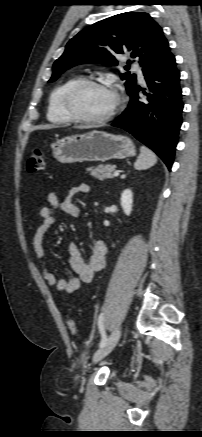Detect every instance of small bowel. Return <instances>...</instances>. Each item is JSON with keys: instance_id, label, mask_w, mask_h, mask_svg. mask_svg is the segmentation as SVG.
Listing matches in <instances>:
<instances>
[{"instance_id": "small-bowel-1", "label": "small bowel", "mask_w": 202, "mask_h": 437, "mask_svg": "<svg viewBox=\"0 0 202 437\" xmlns=\"http://www.w3.org/2000/svg\"><path fill=\"white\" fill-rule=\"evenodd\" d=\"M90 187L85 183H80L72 187L64 200L60 201L56 192H50L47 195L48 206H44L39 210L41 223L37 227L33 237V248L37 262L42 268L43 277L46 285L54 286L57 291L72 293L77 291L81 283H91L95 275L100 272L106 262L107 247L102 240H96L91 244V254L88 259H85L80 249L75 243L69 245L70 266L74 275L69 278L57 277L47 265V258L43 247V239L45 233L57 221V212H63L70 216H78L80 207L77 204L76 198L80 194L89 192Z\"/></svg>"}]
</instances>
